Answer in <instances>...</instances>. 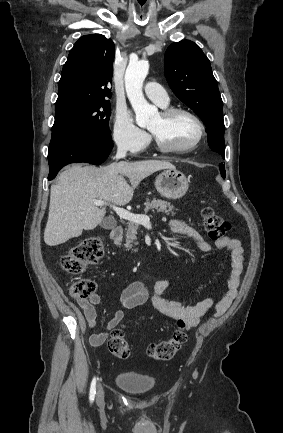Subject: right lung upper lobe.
<instances>
[{
    "mask_svg": "<svg viewBox=\"0 0 283 433\" xmlns=\"http://www.w3.org/2000/svg\"><path fill=\"white\" fill-rule=\"evenodd\" d=\"M115 46L101 34L82 36L71 49L59 81L55 111L111 98Z\"/></svg>",
    "mask_w": 283,
    "mask_h": 433,
    "instance_id": "obj_1",
    "label": "right lung upper lobe"
}]
</instances>
